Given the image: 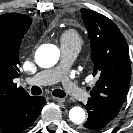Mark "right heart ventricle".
<instances>
[{
  "label": "right heart ventricle",
  "instance_id": "1",
  "mask_svg": "<svg viewBox=\"0 0 133 133\" xmlns=\"http://www.w3.org/2000/svg\"><path fill=\"white\" fill-rule=\"evenodd\" d=\"M60 41H61V47L65 46V47H74L80 49L83 44L81 36L77 31L73 29H69L62 32L60 35Z\"/></svg>",
  "mask_w": 133,
  "mask_h": 133
}]
</instances>
